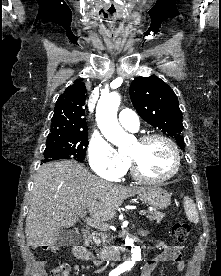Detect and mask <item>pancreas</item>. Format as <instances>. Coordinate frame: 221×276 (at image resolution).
Listing matches in <instances>:
<instances>
[{
  "mask_svg": "<svg viewBox=\"0 0 221 276\" xmlns=\"http://www.w3.org/2000/svg\"><path fill=\"white\" fill-rule=\"evenodd\" d=\"M163 217L164 214L157 212H149L147 216V218H149L151 221L156 220L157 223H160ZM106 231L107 229H104L102 232L94 234L92 244H95L97 246L102 244L104 248H107L105 246V243L108 242V235L106 234Z\"/></svg>",
  "mask_w": 221,
  "mask_h": 276,
  "instance_id": "obj_1",
  "label": "pancreas"
}]
</instances>
